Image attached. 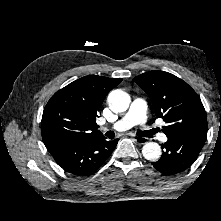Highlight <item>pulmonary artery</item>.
Returning a JSON list of instances; mask_svg holds the SVG:
<instances>
[{
    "label": "pulmonary artery",
    "instance_id": "e3ab8cb5",
    "mask_svg": "<svg viewBox=\"0 0 221 221\" xmlns=\"http://www.w3.org/2000/svg\"><path fill=\"white\" fill-rule=\"evenodd\" d=\"M146 111V102L141 98L134 99L127 113L114 123L113 129L117 131H125L134 125L145 124L147 120ZM147 130H149V127H147ZM160 139L166 141L167 137L161 135Z\"/></svg>",
    "mask_w": 221,
    "mask_h": 221
}]
</instances>
